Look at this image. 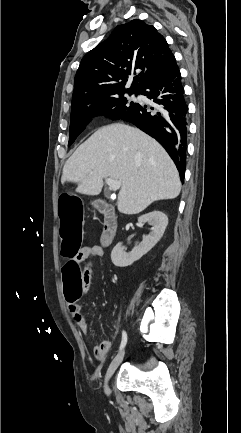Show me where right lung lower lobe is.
Segmentation results:
<instances>
[{
	"instance_id": "1",
	"label": "right lung lower lobe",
	"mask_w": 241,
	"mask_h": 433,
	"mask_svg": "<svg viewBox=\"0 0 241 433\" xmlns=\"http://www.w3.org/2000/svg\"><path fill=\"white\" fill-rule=\"evenodd\" d=\"M139 94L152 99L155 107L137 104L122 118L155 138L169 153L184 180L188 134V106L176 63L144 85Z\"/></svg>"
}]
</instances>
